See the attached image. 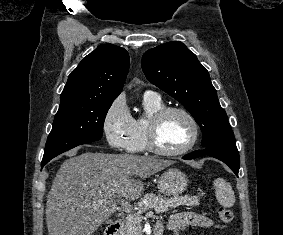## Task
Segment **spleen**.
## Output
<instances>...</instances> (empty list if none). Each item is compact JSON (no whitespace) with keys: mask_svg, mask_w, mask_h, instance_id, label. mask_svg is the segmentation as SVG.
Here are the masks:
<instances>
[{"mask_svg":"<svg viewBox=\"0 0 283 235\" xmlns=\"http://www.w3.org/2000/svg\"><path fill=\"white\" fill-rule=\"evenodd\" d=\"M213 185L219 204L225 208H231L235 204V195L232 186L223 178H217Z\"/></svg>","mask_w":283,"mask_h":235,"instance_id":"obj_1","label":"spleen"}]
</instances>
